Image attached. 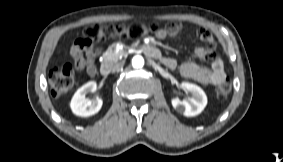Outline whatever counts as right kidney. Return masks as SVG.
<instances>
[{"label": "right kidney", "instance_id": "ca27d5eb", "mask_svg": "<svg viewBox=\"0 0 283 162\" xmlns=\"http://www.w3.org/2000/svg\"><path fill=\"white\" fill-rule=\"evenodd\" d=\"M96 89L97 83L89 81L75 92L70 103L71 110L75 115L88 117L99 112L103 104L102 99L97 98L92 101L86 98L87 94L95 92Z\"/></svg>", "mask_w": 283, "mask_h": 162}]
</instances>
